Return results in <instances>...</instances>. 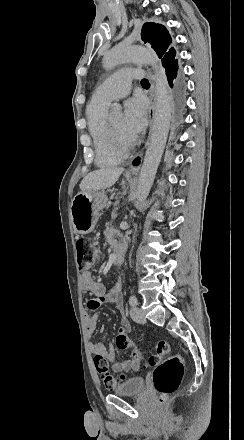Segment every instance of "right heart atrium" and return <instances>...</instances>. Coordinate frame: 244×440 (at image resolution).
I'll list each match as a JSON object with an SVG mask.
<instances>
[{
	"mask_svg": "<svg viewBox=\"0 0 244 440\" xmlns=\"http://www.w3.org/2000/svg\"><path fill=\"white\" fill-rule=\"evenodd\" d=\"M127 139H132V137H131V136H128Z\"/></svg>",
	"mask_w": 244,
	"mask_h": 440,
	"instance_id": "1",
	"label": "right heart atrium"
}]
</instances>
